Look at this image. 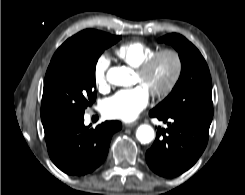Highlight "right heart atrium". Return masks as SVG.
Here are the masks:
<instances>
[{
    "mask_svg": "<svg viewBox=\"0 0 245 195\" xmlns=\"http://www.w3.org/2000/svg\"><path fill=\"white\" fill-rule=\"evenodd\" d=\"M109 66L110 60L105 54L100 55L93 66V81L97 90L101 92L106 91L109 87L107 81V71Z\"/></svg>",
    "mask_w": 245,
    "mask_h": 195,
    "instance_id": "obj_1",
    "label": "right heart atrium"
}]
</instances>
